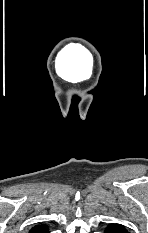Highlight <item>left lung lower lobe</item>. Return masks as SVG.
<instances>
[{
    "label": "left lung lower lobe",
    "instance_id": "left-lung-lower-lobe-1",
    "mask_svg": "<svg viewBox=\"0 0 148 233\" xmlns=\"http://www.w3.org/2000/svg\"><path fill=\"white\" fill-rule=\"evenodd\" d=\"M105 233H122V231H119L118 229L112 227H107Z\"/></svg>",
    "mask_w": 148,
    "mask_h": 233
}]
</instances>
